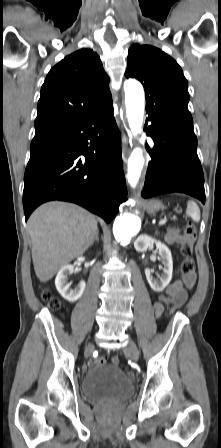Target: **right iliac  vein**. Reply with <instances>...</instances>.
<instances>
[{
  "instance_id": "1",
  "label": "right iliac vein",
  "mask_w": 221,
  "mask_h": 448,
  "mask_svg": "<svg viewBox=\"0 0 221 448\" xmlns=\"http://www.w3.org/2000/svg\"><path fill=\"white\" fill-rule=\"evenodd\" d=\"M93 349V345H89L88 347H87V350L88 351H91Z\"/></svg>"
}]
</instances>
